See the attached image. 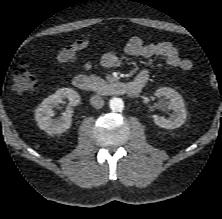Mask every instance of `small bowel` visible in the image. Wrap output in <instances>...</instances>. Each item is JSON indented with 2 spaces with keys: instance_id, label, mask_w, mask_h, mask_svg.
I'll use <instances>...</instances> for the list:
<instances>
[{
  "instance_id": "obj_1",
  "label": "small bowel",
  "mask_w": 222,
  "mask_h": 219,
  "mask_svg": "<svg viewBox=\"0 0 222 219\" xmlns=\"http://www.w3.org/2000/svg\"><path fill=\"white\" fill-rule=\"evenodd\" d=\"M89 46V40L87 38L79 39L65 48H63L57 55L59 63L64 65L74 64L78 60V53ZM125 50L128 54L143 59H149L152 57H159L164 60L168 65L177 68L183 72H190L193 69V64L189 59L182 58L176 49L168 41L146 43L140 37H132L126 44ZM102 66L109 68L119 67L121 59L116 51L109 50L105 52L100 59ZM93 67L91 62L83 64L82 69L87 71ZM146 76L139 74L133 82L139 83L142 86L146 83Z\"/></svg>"
}]
</instances>
